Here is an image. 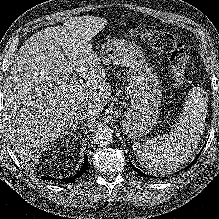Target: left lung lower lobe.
Wrapping results in <instances>:
<instances>
[{"label": "left lung lower lobe", "mask_w": 219, "mask_h": 219, "mask_svg": "<svg viewBox=\"0 0 219 219\" xmlns=\"http://www.w3.org/2000/svg\"><path fill=\"white\" fill-rule=\"evenodd\" d=\"M201 154V152L198 154V156L193 160V162H191V164H189L185 169H188L191 165H193L195 162H196V160L198 159V157H199V155ZM131 167L134 169V171H136L137 173H139V174H141V175H143V176H145V177H147V175L145 174V173H143V172H141L140 170H138L137 168H135L132 164H131ZM184 169V170H185Z\"/></svg>", "instance_id": "0a47b994"}]
</instances>
